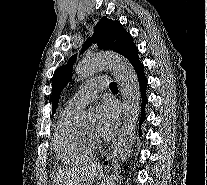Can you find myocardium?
Wrapping results in <instances>:
<instances>
[{
	"instance_id": "myocardium-1",
	"label": "myocardium",
	"mask_w": 207,
	"mask_h": 185,
	"mask_svg": "<svg viewBox=\"0 0 207 185\" xmlns=\"http://www.w3.org/2000/svg\"><path fill=\"white\" fill-rule=\"evenodd\" d=\"M85 136L87 137V139L89 140V142L96 148L101 147L102 145V141L101 139L95 134V133H84Z\"/></svg>"
}]
</instances>
